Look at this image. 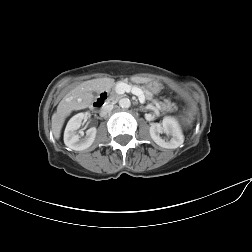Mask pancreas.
<instances>
[{"mask_svg":"<svg viewBox=\"0 0 252 252\" xmlns=\"http://www.w3.org/2000/svg\"><path fill=\"white\" fill-rule=\"evenodd\" d=\"M119 84H123V85L128 84V85L135 86L137 90H140L143 92V94L147 100L152 101V105H155L157 107L158 111L171 112L176 108L175 104L171 103V101H169V100H165L164 102H161V101L159 102L158 100L153 99V95L149 90L145 89L139 83H136L135 81H131L129 79H125V80L119 79L118 80V83L116 84V86L114 87V89L111 92V98L114 100L119 98V95L116 93L117 85H119Z\"/></svg>","mask_w":252,"mask_h":252,"instance_id":"cf45deb5","label":"pancreas"}]
</instances>
